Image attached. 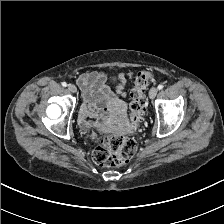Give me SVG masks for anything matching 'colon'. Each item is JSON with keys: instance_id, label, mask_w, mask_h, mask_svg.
Returning <instances> with one entry per match:
<instances>
[{"instance_id": "1", "label": "colon", "mask_w": 224, "mask_h": 224, "mask_svg": "<svg viewBox=\"0 0 224 224\" xmlns=\"http://www.w3.org/2000/svg\"><path fill=\"white\" fill-rule=\"evenodd\" d=\"M155 81L151 71H142L137 74L134 87L131 91L130 119L137 124L141 121L145 109V92L150 83ZM96 142L93 150V160L103 167H119L128 163L134 156L137 144L132 138L122 135L99 136L93 134Z\"/></svg>"}]
</instances>
